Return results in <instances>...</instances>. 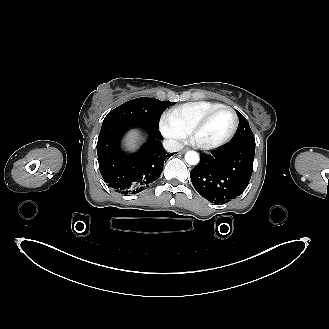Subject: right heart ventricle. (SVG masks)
Masks as SVG:
<instances>
[{"label": "right heart ventricle", "instance_id": "e07e8e85", "mask_svg": "<svg viewBox=\"0 0 329 329\" xmlns=\"http://www.w3.org/2000/svg\"><path fill=\"white\" fill-rule=\"evenodd\" d=\"M220 106L223 104L213 101L189 102L172 108L167 116L187 134L196 122Z\"/></svg>", "mask_w": 329, "mask_h": 329}]
</instances>
